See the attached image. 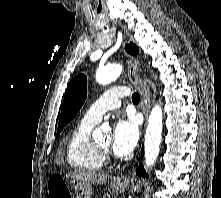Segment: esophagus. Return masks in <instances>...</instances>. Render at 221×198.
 <instances>
[{
	"label": "esophagus",
	"mask_w": 221,
	"mask_h": 198,
	"mask_svg": "<svg viewBox=\"0 0 221 198\" xmlns=\"http://www.w3.org/2000/svg\"><path fill=\"white\" fill-rule=\"evenodd\" d=\"M128 77L132 85L139 91L141 97V109L145 117V125L150 112V96L151 92L149 90L146 80L142 79L139 74L137 61L133 57L127 59Z\"/></svg>",
	"instance_id": "1"
}]
</instances>
